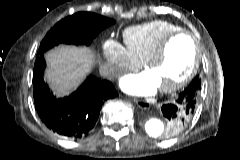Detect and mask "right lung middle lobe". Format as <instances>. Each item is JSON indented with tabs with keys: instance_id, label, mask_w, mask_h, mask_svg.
I'll return each mask as SVG.
<instances>
[{
	"instance_id": "right-lung-middle-lobe-1",
	"label": "right lung middle lobe",
	"mask_w": 240,
	"mask_h": 160,
	"mask_svg": "<svg viewBox=\"0 0 240 160\" xmlns=\"http://www.w3.org/2000/svg\"><path fill=\"white\" fill-rule=\"evenodd\" d=\"M114 20L89 13L78 12L59 21L41 42L38 55L60 44L89 45L97 34L112 25Z\"/></svg>"
}]
</instances>
